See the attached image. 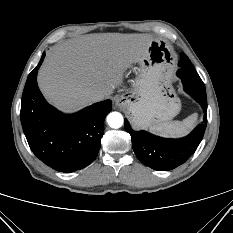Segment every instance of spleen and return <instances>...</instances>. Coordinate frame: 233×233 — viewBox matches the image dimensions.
Instances as JSON below:
<instances>
[{
  "instance_id": "obj_1",
  "label": "spleen",
  "mask_w": 233,
  "mask_h": 233,
  "mask_svg": "<svg viewBox=\"0 0 233 233\" xmlns=\"http://www.w3.org/2000/svg\"><path fill=\"white\" fill-rule=\"evenodd\" d=\"M196 113L188 116L183 121L164 122L150 127V131L164 137H181L186 135L196 124Z\"/></svg>"
}]
</instances>
